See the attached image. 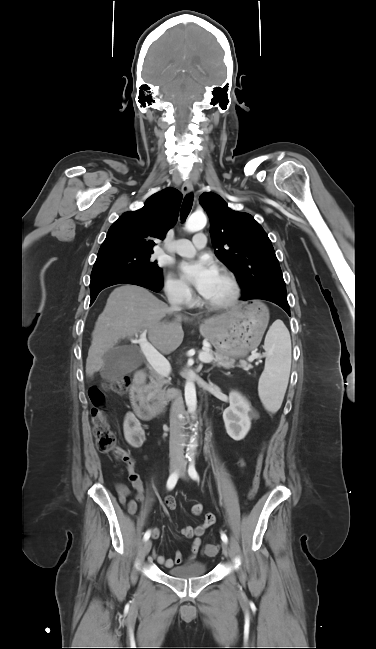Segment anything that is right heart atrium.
Wrapping results in <instances>:
<instances>
[{
  "instance_id": "d8ad5b80",
  "label": "right heart atrium",
  "mask_w": 376,
  "mask_h": 649,
  "mask_svg": "<svg viewBox=\"0 0 376 649\" xmlns=\"http://www.w3.org/2000/svg\"><path fill=\"white\" fill-rule=\"evenodd\" d=\"M166 297L179 305H188L193 301L191 290L181 281L172 276H167L164 281Z\"/></svg>"
}]
</instances>
